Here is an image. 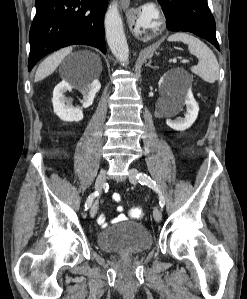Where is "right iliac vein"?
I'll list each match as a JSON object with an SVG mask.
<instances>
[{
  "mask_svg": "<svg viewBox=\"0 0 247 299\" xmlns=\"http://www.w3.org/2000/svg\"><path fill=\"white\" fill-rule=\"evenodd\" d=\"M106 178H107V173L105 170L101 171L96 179V182H95V189L97 191H101L102 188L105 186V183H106ZM97 210H98V204H97V201L93 203V205L91 206V209H90V216L91 217H94L97 213Z\"/></svg>",
  "mask_w": 247,
  "mask_h": 299,
  "instance_id": "right-iliac-vein-1",
  "label": "right iliac vein"
}]
</instances>
